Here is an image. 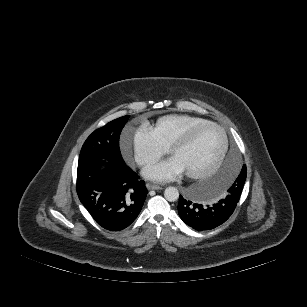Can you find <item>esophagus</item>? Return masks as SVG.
I'll list each match as a JSON object with an SVG mask.
<instances>
[{
	"mask_svg": "<svg viewBox=\"0 0 307 307\" xmlns=\"http://www.w3.org/2000/svg\"><path fill=\"white\" fill-rule=\"evenodd\" d=\"M146 187H147L148 190H160V189H162L161 186L155 185V184H150V183L146 184Z\"/></svg>",
	"mask_w": 307,
	"mask_h": 307,
	"instance_id": "esophagus-1",
	"label": "esophagus"
}]
</instances>
